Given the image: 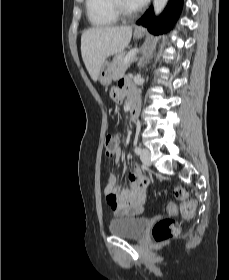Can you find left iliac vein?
Masks as SVG:
<instances>
[{"instance_id": "obj_1", "label": "left iliac vein", "mask_w": 229, "mask_h": 280, "mask_svg": "<svg viewBox=\"0 0 229 280\" xmlns=\"http://www.w3.org/2000/svg\"><path fill=\"white\" fill-rule=\"evenodd\" d=\"M150 156H151L150 151L147 148H143L140 155V159L144 165L146 166L151 165Z\"/></svg>"}]
</instances>
